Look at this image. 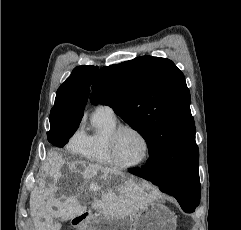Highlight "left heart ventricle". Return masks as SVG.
I'll return each instance as SVG.
<instances>
[{
    "label": "left heart ventricle",
    "instance_id": "obj_1",
    "mask_svg": "<svg viewBox=\"0 0 241 230\" xmlns=\"http://www.w3.org/2000/svg\"><path fill=\"white\" fill-rule=\"evenodd\" d=\"M144 150V143L136 133L125 130L119 135L116 145V155L119 161L137 162L143 157Z\"/></svg>",
    "mask_w": 241,
    "mask_h": 230
}]
</instances>
